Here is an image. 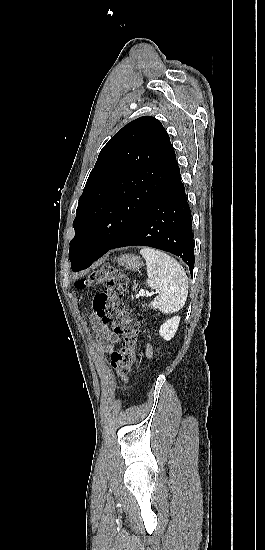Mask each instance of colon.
<instances>
[{
    "label": "colon",
    "instance_id": "1",
    "mask_svg": "<svg viewBox=\"0 0 265 550\" xmlns=\"http://www.w3.org/2000/svg\"><path fill=\"white\" fill-rule=\"evenodd\" d=\"M127 276L111 264H105L87 277L75 282L77 289L93 288L104 285L101 292L93 298L96 315L122 338L120 346L111 355V368L121 382H124L136 361L139 322L130 317L122 301L127 289Z\"/></svg>",
    "mask_w": 265,
    "mask_h": 550
}]
</instances>
